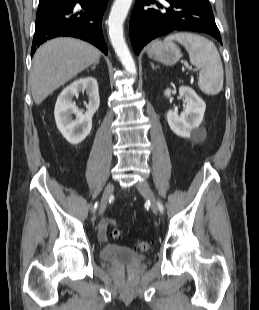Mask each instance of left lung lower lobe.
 <instances>
[{
  "label": "left lung lower lobe",
  "mask_w": 259,
  "mask_h": 310,
  "mask_svg": "<svg viewBox=\"0 0 259 310\" xmlns=\"http://www.w3.org/2000/svg\"><path fill=\"white\" fill-rule=\"evenodd\" d=\"M164 1L170 7L155 0H136L130 19V39L136 54L152 39L176 30L207 33L222 43L209 0ZM150 4L154 6L146 7Z\"/></svg>",
  "instance_id": "1"
}]
</instances>
